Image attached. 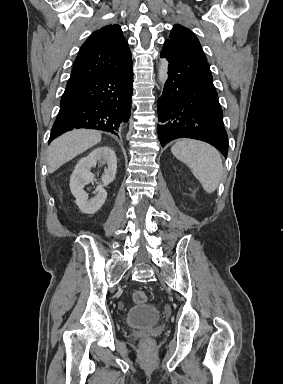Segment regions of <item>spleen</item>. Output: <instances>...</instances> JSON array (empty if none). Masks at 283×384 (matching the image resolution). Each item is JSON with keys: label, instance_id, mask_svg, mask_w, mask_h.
<instances>
[{"label": "spleen", "instance_id": "1", "mask_svg": "<svg viewBox=\"0 0 283 384\" xmlns=\"http://www.w3.org/2000/svg\"><path fill=\"white\" fill-rule=\"evenodd\" d=\"M171 152L177 160L189 166L207 194L215 192L223 174L222 158L216 148L198 140H178Z\"/></svg>", "mask_w": 283, "mask_h": 384}]
</instances>
